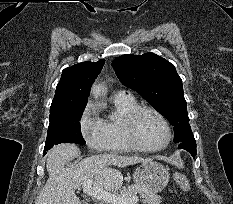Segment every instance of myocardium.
Listing matches in <instances>:
<instances>
[{"mask_svg": "<svg viewBox=\"0 0 233 204\" xmlns=\"http://www.w3.org/2000/svg\"><path fill=\"white\" fill-rule=\"evenodd\" d=\"M143 112H150L154 114L155 116L159 118V120L164 125L165 130H166V139L162 145L155 147V148H147L140 144L137 138V134H136V121L139 115ZM123 129H124V134H125V137H126V140L129 146L133 150L143 152V153H155V152H159L165 149L170 144L171 138H172L171 127L166 117L157 109L150 107V106H145V105L137 106L125 116L124 121H123Z\"/></svg>", "mask_w": 233, "mask_h": 204, "instance_id": "1", "label": "myocardium"}]
</instances>
